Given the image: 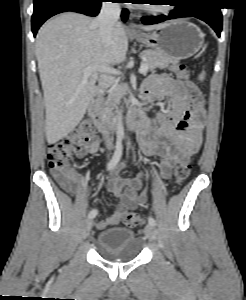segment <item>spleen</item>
<instances>
[{
  "mask_svg": "<svg viewBox=\"0 0 246 300\" xmlns=\"http://www.w3.org/2000/svg\"><path fill=\"white\" fill-rule=\"evenodd\" d=\"M204 78H205V72L203 71V72L199 75L198 79L202 81V80H204Z\"/></svg>",
  "mask_w": 246,
  "mask_h": 300,
  "instance_id": "3e777b00",
  "label": "spleen"
}]
</instances>
